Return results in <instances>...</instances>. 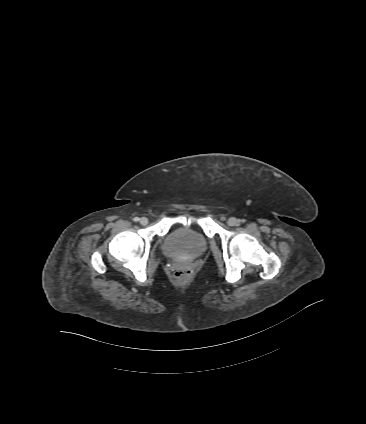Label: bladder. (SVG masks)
Returning a JSON list of instances; mask_svg holds the SVG:
<instances>
[{"label": "bladder", "mask_w": 366, "mask_h": 424, "mask_svg": "<svg viewBox=\"0 0 366 424\" xmlns=\"http://www.w3.org/2000/svg\"><path fill=\"white\" fill-rule=\"evenodd\" d=\"M207 245V238L202 232L181 226L165 236L161 249L170 257L195 258L205 252Z\"/></svg>", "instance_id": "31cf9c89"}]
</instances>
